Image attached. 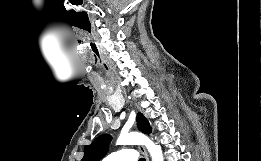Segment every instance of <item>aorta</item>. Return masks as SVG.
Wrapping results in <instances>:
<instances>
[{
    "label": "aorta",
    "instance_id": "1",
    "mask_svg": "<svg viewBox=\"0 0 261 161\" xmlns=\"http://www.w3.org/2000/svg\"><path fill=\"white\" fill-rule=\"evenodd\" d=\"M118 145H145L149 151L152 161H163V154L160 145H156L147 136L138 133L131 132L127 134H121L117 140Z\"/></svg>",
    "mask_w": 261,
    "mask_h": 161
}]
</instances>
